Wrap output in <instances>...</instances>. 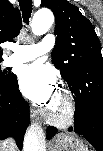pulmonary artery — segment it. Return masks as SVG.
<instances>
[{"mask_svg":"<svg viewBox=\"0 0 103 151\" xmlns=\"http://www.w3.org/2000/svg\"><path fill=\"white\" fill-rule=\"evenodd\" d=\"M55 44L53 35H46L40 43L30 45H16L14 47V55L11 58V64H21L33 60L48 51H50Z\"/></svg>","mask_w":103,"mask_h":151,"instance_id":"e3ab8cb5","label":"pulmonary artery"}]
</instances>
